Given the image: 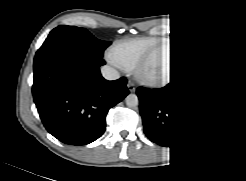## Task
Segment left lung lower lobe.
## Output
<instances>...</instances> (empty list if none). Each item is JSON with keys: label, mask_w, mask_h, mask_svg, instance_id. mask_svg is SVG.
I'll list each match as a JSON object with an SVG mask.
<instances>
[{"label": "left lung lower lobe", "mask_w": 246, "mask_h": 181, "mask_svg": "<svg viewBox=\"0 0 246 181\" xmlns=\"http://www.w3.org/2000/svg\"><path fill=\"white\" fill-rule=\"evenodd\" d=\"M220 94L219 67L211 51L188 57L169 84L137 89L144 132L161 146L189 143L207 129Z\"/></svg>", "instance_id": "left-lung-lower-lobe-1"}]
</instances>
